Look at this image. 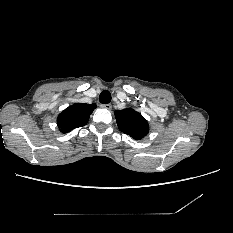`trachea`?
<instances>
[{"mask_svg":"<svg viewBox=\"0 0 233 233\" xmlns=\"http://www.w3.org/2000/svg\"><path fill=\"white\" fill-rule=\"evenodd\" d=\"M111 93L108 90H104L99 95V101L102 104H108L111 102Z\"/></svg>","mask_w":233,"mask_h":233,"instance_id":"trachea-1","label":"trachea"}]
</instances>
